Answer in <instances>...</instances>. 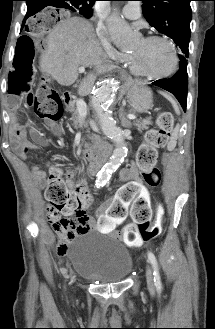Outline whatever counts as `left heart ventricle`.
Wrapping results in <instances>:
<instances>
[{
    "label": "left heart ventricle",
    "mask_w": 215,
    "mask_h": 329,
    "mask_svg": "<svg viewBox=\"0 0 215 329\" xmlns=\"http://www.w3.org/2000/svg\"><path fill=\"white\" fill-rule=\"evenodd\" d=\"M130 54L137 57L139 66L148 73H165L174 65L173 51L169 44L162 40L146 42L142 38Z\"/></svg>",
    "instance_id": "left-heart-ventricle-1"
}]
</instances>
